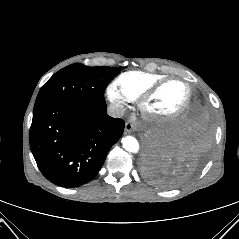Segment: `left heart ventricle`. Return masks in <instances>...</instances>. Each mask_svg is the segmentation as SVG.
Masks as SVG:
<instances>
[{
  "mask_svg": "<svg viewBox=\"0 0 239 239\" xmlns=\"http://www.w3.org/2000/svg\"><path fill=\"white\" fill-rule=\"evenodd\" d=\"M187 88L181 82H172L165 86L149 103V109L154 113L169 114L176 111L184 103Z\"/></svg>",
  "mask_w": 239,
  "mask_h": 239,
  "instance_id": "1",
  "label": "left heart ventricle"
}]
</instances>
